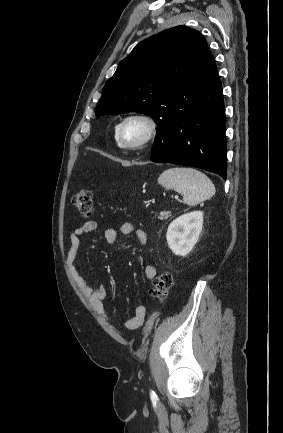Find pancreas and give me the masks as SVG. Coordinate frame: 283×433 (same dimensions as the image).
Masks as SVG:
<instances>
[{"mask_svg": "<svg viewBox=\"0 0 283 433\" xmlns=\"http://www.w3.org/2000/svg\"><path fill=\"white\" fill-rule=\"evenodd\" d=\"M168 217H171L169 210H161L160 219H168Z\"/></svg>", "mask_w": 283, "mask_h": 433, "instance_id": "cf45deb5", "label": "pancreas"}]
</instances>
